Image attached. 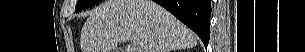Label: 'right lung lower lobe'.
<instances>
[{"instance_id":"98d812e1","label":"right lung lower lobe","mask_w":305,"mask_h":52,"mask_svg":"<svg viewBox=\"0 0 305 52\" xmlns=\"http://www.w3.org/2000/svg\"><path fill=\"white\" fill-rule=\"evenodd\" d=\"M193 30L207 47L210 39L211 0H153Z\"/></svg>"}]
</instances>
